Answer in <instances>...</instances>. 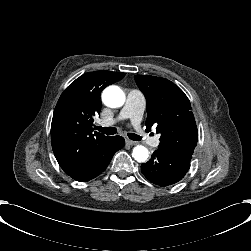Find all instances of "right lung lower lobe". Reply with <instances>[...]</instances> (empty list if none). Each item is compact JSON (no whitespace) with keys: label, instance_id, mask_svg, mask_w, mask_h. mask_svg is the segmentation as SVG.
Returning a JSON list of instances; mask_svg holds the SVG:
<instances>
[{"label":"right lung lower lobe","instance_id":"1","mask_svg":"<svg viewBox=\"0 0 251 251\" xmlns=\"http://www.w3.org/2000/svg\"><path fill=\"white\" fill-rule=\"evenodd\" d=\"M124 145L125 140L123 137L113 136L108 148L104 150L95 162L70 177L79 182H86L95 178L107 168L115 152L123 148Z\"/></svg>","mask_w":251,"mask_h":251}]
</instances>
